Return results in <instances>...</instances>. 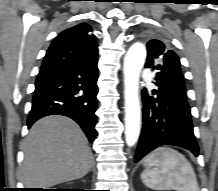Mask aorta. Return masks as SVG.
I'll use <instances>...</instances> for the list:
<instances>
[{
  "label": "aorta",
  "mask_w": 218,
  "mask_h": 191,
  "mask_svg": "<svg viewBox=\"0 0 218 191\" xmlns=\"http://www.w3.org/2000/svg\"><path fill=\"white\" fill-rule=\"evenodd\" d=\"M145 59L146 47L139 42L128 49L124 58L125 138L130 147L135 145L140 135L139 78Z\"/></svg>",
  "instance_id": "aorta-1"
}]
</instances>
